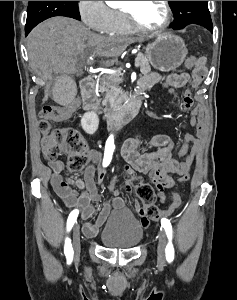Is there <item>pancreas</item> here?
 <instances>
[{"instance_id": "cf45deb5", "label": "pancreas", "mask_w": 237, "mask_h": 300, "mask_svg": "<svg viewBox=\"0 0 237 300\" xmlns=\"http://www.w3.org/2000/svg\"><path fill=\"white\" fill-rule=\"evenodd\" d=\"M140 62V71L142 75H148L150 73V65L147 57L145 55H141V53H138L135 61ZM122 79L118 77V73H114V75H109V73H106V75H102L100 79V91L102 93H105V101L104 103V113H106V117H111V119H119V115L117 113L118 111V103L116 101L117 97L115 95V91H113V87H119Z\"/></svg>"}]
</instances>
